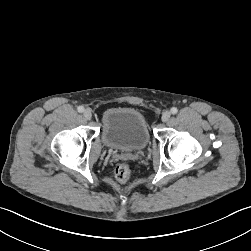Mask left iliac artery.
I'll use <instances>...</instances> for the list:
<instances>
[{
	"label": "left iliac artery",
	"mask_w": 251,
	"mask_h": 251,
	"mask_svg": "<svg viewBox=\"0 0 251 251\" xmlns=\"http://www.w3.org/2000/svg\"><path fill=\"white\" fill-rule=\"evenodd\" d=\"M170 111L172 114H176L178 112V109L176 107H172Z\"/></svg>",
	"instance_id": "44dca946"
}]
</instances>
